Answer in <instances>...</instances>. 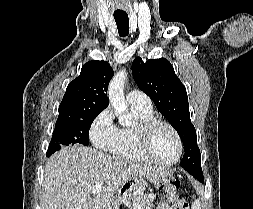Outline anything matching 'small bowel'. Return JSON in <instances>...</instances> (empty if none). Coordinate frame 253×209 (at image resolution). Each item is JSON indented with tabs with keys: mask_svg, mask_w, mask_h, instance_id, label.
<instances>
[{
	"mask_svg": "<svg viewBox=\"0 0 253 209\" xmlns=\"http://www.w3.org/2000/svg\"><path fill=\"white\" fill-rule=\"evenodd\" d=\"M157 209H176V207H175V205L169 206V204L167 202L163 201L157 206Z\"/></svg>",
	"mask_w": 253,
	"mask_h": 209,
	"instance_id": "c3829d8e",
	"label": "small bowel"
}]
</instances>
